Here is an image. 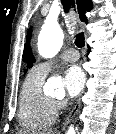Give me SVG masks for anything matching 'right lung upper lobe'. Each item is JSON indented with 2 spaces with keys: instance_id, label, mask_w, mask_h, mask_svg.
<instances>
[{
  "instance_id": "obj_1",
  "label": "right lung upper lobe",
  "mask_w": 116,
  "mask_h": 134,
  "mask_svg": "<svg viewBox=\"0 0 116 134\" xmlns=\"http://www.w3.org/2000/svg\"><path fill=\"white\" fill-rule=\"evenodd\" d=\"M77 1V9H78V14H79V19L82 22L87 23V18L85 16V12L87 11H91L92 10V3L91 0H76ZM27 56V46L25 45V49H24V61L26 59Z\"/></svg>"
}]
</instances>
